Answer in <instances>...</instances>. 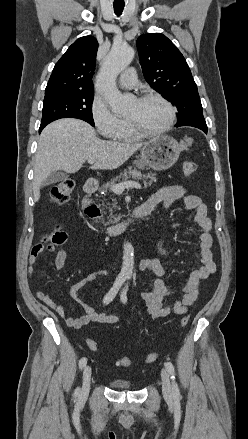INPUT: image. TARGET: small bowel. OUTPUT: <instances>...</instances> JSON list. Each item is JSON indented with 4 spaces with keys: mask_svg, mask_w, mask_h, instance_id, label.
Masks as SVG:
<instances>
[{
    "mask_svg": "<svg viewBox=\"0 0 248 439\" xmlns=\"http://www.w3.org/2000/svg\"><path fill=\"white\" fill-rule=\"evenodd\" d=\"M180 199L183 200L187 209L195 212L193 224L200 230V258L202 265L191 272L188 281L182 289L181 297L175 300L172 305L163 306V300L171 296L172 292L162 279L165 271L160 263L159 257L140 261L139 270L149 272L153 276L150 282V290L139 293V297L146 303L148 313L152 318H162L171 313L178 315L186 313L198 298L201 282L217 270V265L211 251L213 244L211 235L212 223L208 218L207 206L202 202L200 197L190 193L184 185L175 184L160 188L151 194L142 206L150 213L157 205L162 204L163 208L167 211L175 201ZM164 239L165 235L161 236L156 244L159 256L166 255V250L163 248ZM42 252L43 246L38 245L35 246L30 253L28 267L30 276L33 275L37 258ZM67 255L68 252L65 248H61L58 251L54 262L56 270L63 269ZM105 275L106 271L104 269H98L70 288V297L83 308L84 314L76 318H66V323L69 327L78 329L90 323L116 324L119 322V317L116 314L98 312L81 297V292L85 288L96 279L104 277ZM35 295L60 317L65 318V309L61 303L53 300L49 294L38 288L35 290Z\"/></svg>",
    "mask_w": 248,
    "mask_h": 439,
    "instance_id": "1",
    "label": "small bowel"
}]
</instances>
